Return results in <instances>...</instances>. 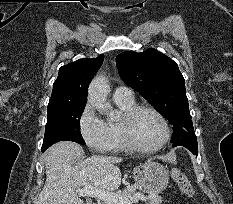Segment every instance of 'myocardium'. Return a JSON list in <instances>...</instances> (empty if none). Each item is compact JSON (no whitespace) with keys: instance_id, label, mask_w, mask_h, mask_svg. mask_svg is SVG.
Wrapping results in <instances>:
<instances>
[{"instance_id":"myocardium-1","label":"myocardium","mask_w":233,"mask_h":204,"mask_svg":"<svg viewBox=\"0 0 233 204\" xmlns=\"http://www.w3.org/2000/svg\"><path fill=\"white\" fill-rule=\"evenodd\" d=\"M142 111H148L153 113L163 125L164 138L155 147H151V148L142 147L138 145L134 139L133 130H132L133 122L136 116ZM119 126L125 146L129 150L138 153L148 154V153L157 152L167 145L171 137L170 127L165 116L159 110L149 105H135L128 111L124 112L119 120Z\"/></svg>"}]
</instances>
